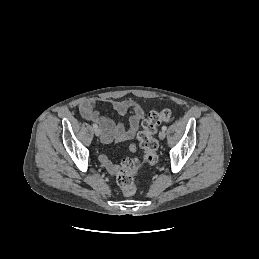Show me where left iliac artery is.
<instances>
[{"label":"left iliac artery","mask_w":259,"mask_h":259,"mask_svg":"<svg viewBox=\"0 0 259 259\" xmlns=\"http://www.w3.org/2000/svg\"><path fill=\"white\" fill-rule=\"evenodd\" d=\"M162 130H163V131H166V130H167V127H166V126H163V127H162Z\"/></svg>","instance_id":"1"}]
</instances>
